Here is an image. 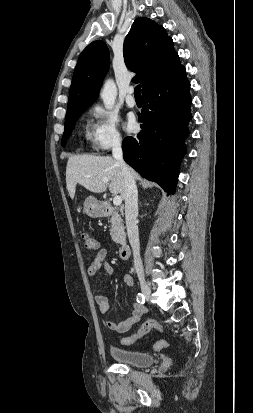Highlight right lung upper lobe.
Listing matches in <instances>:
<instances>
[{"label":"right lung upper lobe","instance_id":"right-lung-upper-lobe-1","mask_svg":"<svg viewBox=\"0 0 253 413\" xmlns=\"http://www.w3.org/2000/svg\"><path fill=\"white\" fill-rule=\"evenodd\" d=\"M123 53L127 67L137 73L133 80L142 84V93L183 67L165 29L145 17L134 21ZM108 68L109 50L103 41H94L82 51L73 74L65 119L83 113L96 100Z\"/></svg>","mask_w":253,"mask_h":413}]
</instances>
